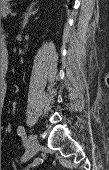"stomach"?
Listing matches in <instances>:
<instances>
[{
	"label": "stomach",
	"instance_id": "stomach-1",
	"mask_svg": "<svg viewBox=\"0 0 109 170\" xmlns=\"http://www.w3.org/2000/svg\"><path fill=\"white\" fill-rule=\"evenodd\" d=\"M11 0H1V7L6 6Z\"/></svg>",
	"mask_w": 109,
	"mask_h": 170
}]
</instances>
